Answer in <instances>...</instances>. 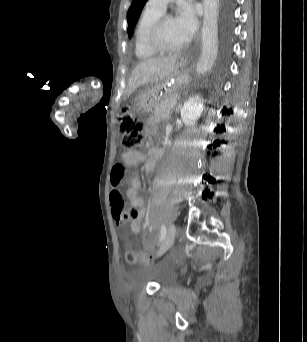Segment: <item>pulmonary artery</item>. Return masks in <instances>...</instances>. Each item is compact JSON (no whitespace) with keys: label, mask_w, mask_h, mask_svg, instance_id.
Returning <instances> with one entry per match:
<instances>
[{"label":"pulmonary artery","mask_w":307,"mask_h":342,"mask_svg":"<svg viewBox=\"0 0 307 342\" xmlns=\"http://www.w3.org/2000/svg\"><path fill=\"white\" fill-rule=\"evenodd\" d=\"M169 2L171 1H146V5L150 10L158 14H163L165 12L166 5Z\"/></svg>","instance_id":"pulmonary-artery-1"}]
</instances>
